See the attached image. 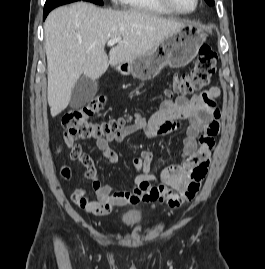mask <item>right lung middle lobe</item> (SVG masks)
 Instances as JSON below:
<instances>
[{"mask_svg":"<svg viewBox=\"0 0 265 269\" xmlns=\"http://www.w3.org/2000/svg\"><path fill=\"white\" fill-rule=\"evenodd\" d=\"M83 1H88V2H92L98 5H103V0H83Z\"/></svg>","mask_w":265,"mask_h":269,"instance_id":"1","label":"right lung middle lobe"}]
</instances>
